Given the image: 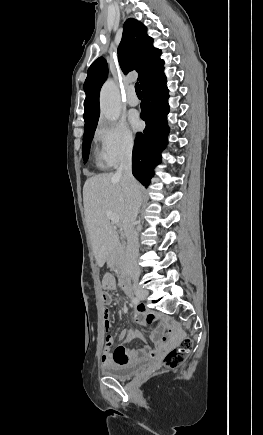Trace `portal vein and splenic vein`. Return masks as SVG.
I'll return each mask as SVG.
<instances>
[{
  "mask_svg": "<svg viewBox=\"0 0 263 435\" xmlns=\"http://www.w3.org/2000/svg\"><path fill=\"white\" fill-rule=\"evenodd\" d=\"M106 216L111 220L113 224H119L120 219L117 214H113L111 211H107Z\"/></svg>",
  "mask_w": 263,
  "mask_h": 435,
  "instance_id": "1",
  "label": "portal vein and splenic vein"
}]
</instances>
